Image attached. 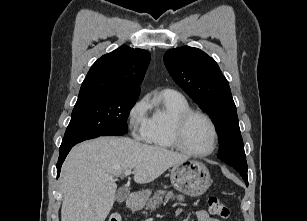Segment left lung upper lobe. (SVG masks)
<instances>
[{"label": "left lung upper lobe", "instance_id": "5c2ea615", "mask_svg": "<svg viewBox=\"0 0 307 221\" xmlns=\"http://www.w3.org/2000/svg\"><path fill=\"white\" fill-rule=\"evenodd\" d=\"M164 63L173 80L214 121L219 135V158L235 170L247 173L244 144L231 90L219 66L198 48L168 50Z\"/></svg>", "mask_w": 307, "mask_h": 221}]
</instances>
